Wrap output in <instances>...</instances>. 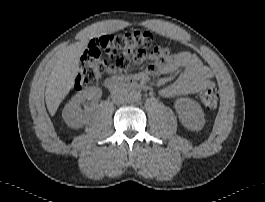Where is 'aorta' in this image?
I'll list each match as a JSON object with an SVG mask.
<instances>
[{"label": "aorta", "instance_id": "762f6f07", "mask_svg": "<svg viewBox=\"0 0 265 202\" xmlns=\"http://www.w3.org/2000/svg\"><path fill=\"white\" fill-rule=\"evenodd\" d=\"M141 93L140 91L138 90H131L129 93H128V101L131 102V103H137L141 100Z\"/></svg>", "mask_w": 265, "mask_h": 202}]
</instances>
